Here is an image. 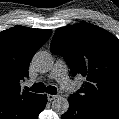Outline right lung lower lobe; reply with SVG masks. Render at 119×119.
<instances>
[{
    "label": "right lung lower lobe",
    "mask_w": 119,
    "mask_h": 119,
    "mask_svg": "<svg viewBox=\"0 0 119 119\" xmlns=\"http://www.w3.org/2000/svg\"><path fill=\"white\" fill-rule=\"evenodd\" d=\"M46 103H47V96L42 95L40 103H39L36 111L34 112V114L32 115V117L30 119H38V115L45 108Z\"/></svg>",
    "instance_id": "right-lung-lower-lobe-1"
}]
</instances>
